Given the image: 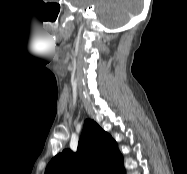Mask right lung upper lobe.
Masks as SVG:
<instances>
[{"label": "right lung upper lobe", "mask_w": 187, "mask_h": 174, "mask_svg": "<svg viewBox=\"0 0 187 174\" xmlns=\"http://www.w3.org/2000/svg\"><path fill=\"white\" fill-rule=\"evenodd\" d=\"M45 174H125L115 140L94 121H86L77 152L65 149L48 164Z\"/></svg>", "instance_id": "obj_1"}]
</instances>
